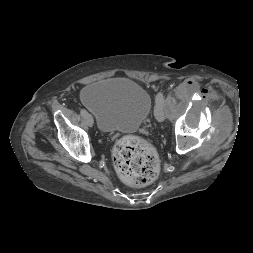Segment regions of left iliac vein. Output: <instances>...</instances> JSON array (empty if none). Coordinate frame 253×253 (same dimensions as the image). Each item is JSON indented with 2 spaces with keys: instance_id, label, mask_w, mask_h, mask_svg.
<instances>
[{
  "instance_id": "obj_1",
  "label": "left iliac vein",
  "mask_w": 253,
  "mask_h": 253,
  "mask_svg": "<svg viewBox=\"0 0 253 253\" xmlns=\"http://www.w3.org/2000/svg\"><path fill=\"white\" fill-rule=\"evenodd\" d=\"M164 111L165 106L163 103L159 102L158 104L155 105L154 115L159 122H163L165 119Z\"/></svg>"
}]
</instances>
